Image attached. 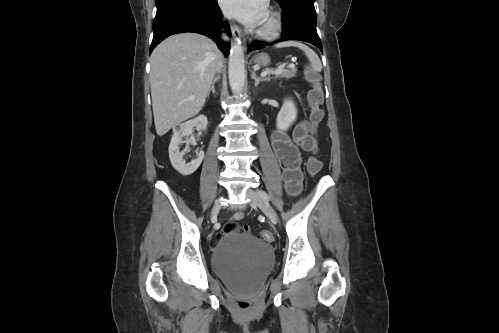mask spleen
<instances>
[{"mask_svg": "<svg viewBox=\"0 0 499 333\" xmlns=\"http://www.w3.org/2000/svg\"><path fill=\"white\" fill-rule=\"evenodd\" d=\"M277 48H283V47H297L301 49L305 55L307 56L308 60L311 63V66L314 71L320 72L322 71V64L321 61L318 57V55L308 46L304 45L301 42L298 41H285L281 42L275 45Z\"/></svg>", "mask_w": 499, "mask_h": 333, "instance_id": "3e777b00", "label": "spleen"}]
</instances>
